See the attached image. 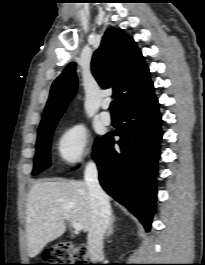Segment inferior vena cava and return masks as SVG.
I'll return each mask as SVG.
<instances>
[{"label":"inferior vena cava","mask_w":205,"mask_h":265,"mask_svg":"<svg viewBox=\"0 0 205 265\" xmlns=\"http://www.w3.org/2000/svg\"><path fill=\"white\" fill-rule=\"evenodd\" d=\"M92 207L91 227L88 233V250L92 261L103 255V239L110 225L111 207L109 198L98 181V171L94 162L86 165L84 172Z\"/></svg>","instance_id":"inferior-vena-cava-1"}]
</instances>
